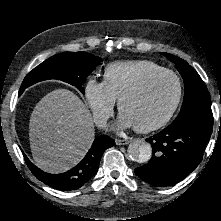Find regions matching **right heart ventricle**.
<instances>
[{
  "label": "right heart ventricle",
  "mask_w": 221,
  "mask_h": 221,
  "mask_svg": "<svg viewBox=\"0 0 221 221\" xmlns=\"http://www.w3.org/2000/svg\"><path fill=\"white\" fill-rule=\"evenodd\" d=\"M161 69L164 67L150 60H124L108 64L103 77L113 96L118 99L125 90L145 75Z\"/></svg>",
  "instance_id": "1"
}]
</instances>
